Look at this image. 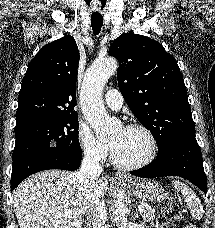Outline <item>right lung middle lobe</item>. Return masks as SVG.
I'll use <instances>...</instances> for the list:
<instances>
[{
    "label": "right lung middle lobe",
    "instance_id": "right-lung-middle-lobe-1",
    "mask_svg": "<svg viewBox=\"0 0 215 228\" xmlns=\"http://www.w3.org/2000/svg\"><path fill=\"white\" fill-rule=\"evenodd\" d=\"M78 127V115L41 117L16 123L13 160L43 149L81 153Z\"/></svg>",
    "mask_w": 215,
    "mask_h": 228
}]
</instances>
